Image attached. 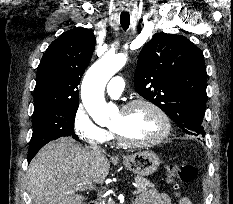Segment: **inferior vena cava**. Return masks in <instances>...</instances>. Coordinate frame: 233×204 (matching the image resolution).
<instances>
[{
	"label": "inferior vena cava",
	"mask_w": 233,
	"mask_h": 204,
	"mask_svg": "<svg viewBox=\"0 0 233 204\" xmlns=\"http://www.w3.org/2000/svg\"><path fill=\"white\" fill-rule=\"evenodd\" d=\"M91 150L98 156L102 155L104 153L103 148H101L100 146H98L97 144H93L91 146Z\"/></svg>",
	"instance_id": "1"
}]
</instances>
